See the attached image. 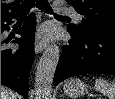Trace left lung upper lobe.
<instances>
[{"mask_svg":"<svg viewBox=\"0 0 115 99\" xmlns=\"http://www.w3.org/2000/svg\"><path fill=\"white\" fill-rule=\"evenodd\" d=\"M83 15V21L71 24L68 29L77 36L106 34L115 36V0H67Z\"/></svg>","mask_w":115,"mask_h":99,"instance_id":"5c2ea615","label":"left lung upper lobe"}]
</instances>
